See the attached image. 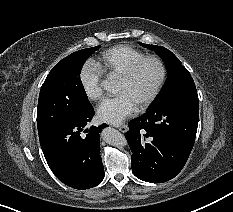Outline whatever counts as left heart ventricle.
<instances>
[{
    "label": "left heart ventricle",
    "instance_id": "1",
    "mask_svg": "<svg viewBox=\"0 0 233 212\" xmlns=\"http://www.w3.org/2000/svg\"><path fill=\"white\" fill-rule=\"evenodd\" d=\"M159 67L154 61H148L141 66L130 81L119 80L117 93H126L138 106L153 90L159 78Z\"/></svg>",
    "mask_w": 233,
    "mask_h": 212
}]
</instances>
